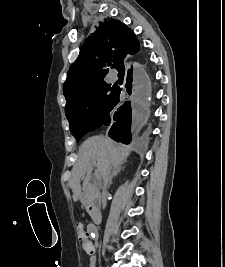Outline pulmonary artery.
<instances>
[{"label": "pulmonary artery", "instance_id": "e3ab8cb5", "mask_svg": "<svg viewBox=\"0 0 225 267\" xmlns=\"http://www.w3.org/2000/svg\"><path fill=\"white\" fill-rule=\"evenodd\" d=\"M116 79H117V78L114 76V77H113V81H116Z\"/></svg>", "mask_w": 225, "mask_h": 267}]
</instances>
